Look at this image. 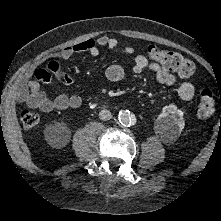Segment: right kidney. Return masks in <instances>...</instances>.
Returning <instances> with one entry per match:
<instances>
[{"label": "right kidney", "instance_id": "1", "mask_svg": "<svg viewBox=\"0 0 221 221\" xmlns=\"http://www.w3.org/2000/svg\"><path fill=\"white\" fill-rule=\"evenodd\" d=\"M69 129L65 124L57 122L45 129L46 136L54 143H62L69 136Z\"/></svg>", "mask_w": 221, "mask_h": 221}]
</instances>
